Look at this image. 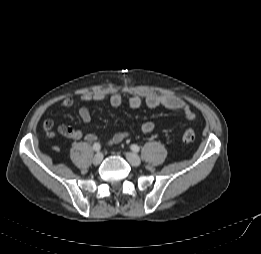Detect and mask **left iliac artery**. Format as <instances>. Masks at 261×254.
Here are the masks:
<instances>
[{
  "label": "left iliac artery",
  "mask_w": 261,
  "mask_h": 254,
  "mask_svg": "<svg viewBox=\"0 0 261 254\" xmlns=\"http://www.w3.org/2000/svg\"><path fill=\"white\" fill-rule=\"evenodd\" d=\"M130 148H131V150L134 151V152H139V150H140L139 146H138V145H135V144L131 145Z\"/></svg>",
  "instance_id": "left-iliac-artery-1"
}]
</instances>
